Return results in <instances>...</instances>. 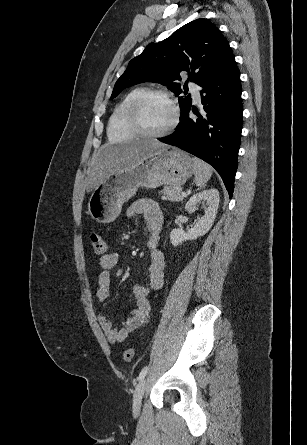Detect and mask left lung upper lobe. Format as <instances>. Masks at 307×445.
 <instances>
[{"mask_svg":"<svg viewBox=\"0 0 307 445\" xmlns=\"http://www.w3.org/2000/svg\"><path fill=\"white\" fill-rule=\"evenodd\" d=\"M232 57V50L218 28L207 19H196L165 40L149 44L133 58L117 80L111 98L127 87L146 81L166 85L179 95L180 84L173 81L181 80L183 71L188 72L192 82L203 87ZM191 101L190 96L179 98L180 120L190 109Z\"/></svg>","mask_w":307,"mask_h":445,"instance_id":"left-lung-upper-lobe-1","label":"left lung upper lobe"}]
</instances>
